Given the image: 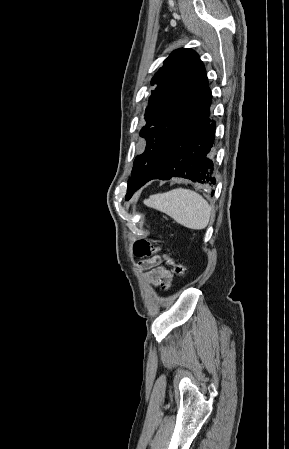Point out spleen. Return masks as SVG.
<instances>
[{"label":"spleen","mask_w":289,"mask_h":449,"mask_svg":"<svg viewBox=\"0 0 289 449\" xmlns=\"http://www.w3.org/2000/svg\"><path fill=\"white\" fill-rule=\"evenodd\" d=\"M150 208L163 212L182 226L202 230L210 220L208 202L193 190L176 188L165 193L151 195L144 200Z\"/></svg>","instance_id":"obj_1"}]
</instances>
